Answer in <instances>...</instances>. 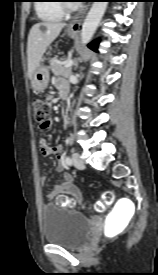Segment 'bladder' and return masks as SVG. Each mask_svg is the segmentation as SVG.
Returning a JSON list of instances; mask_svg holds the SVG:
<instances>
[{"label":"bladder","instance_id":"1","mask_svg":"<svg viewBox=\"0 0 158 275\" xmlns=\"http://www.w3.org/2000/svg\"><path fill=\"white\" fill-rule=\"evenodd\" d=\"M44 240L65 248H78L90 236V219L79 211L45 205L42 209Z\"/></svg>","mask_w":158,"mask_h":275}]
</instances>
